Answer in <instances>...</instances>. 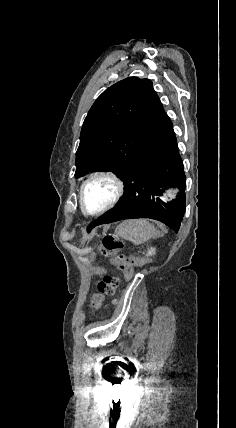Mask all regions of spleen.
I'll return each instance as SVG.
<instances>
[{"label": "spleen", "mask_w": 236, "mask_h": 428, "mask_svg": "<svg viewBox=\"0 0 236 428\" xmlns=\"http://www.w3.org/2000/svg\"><path fill=\"white\" fill-rule=\"evenodd\" d=\"M118 236L124 240L134 242L135 246L144 244L150 240L154 234V226H151L147 220H125L117 228Z\"/></svg>", "instance_id": "1"}]
</instances>
